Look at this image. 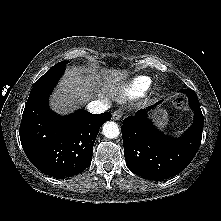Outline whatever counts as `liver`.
Here are the masks:
<instances>
[{"instance_id":"1","label":"liver","mask_w":221,"mask_h":221,"mask_svg":"<svg viewBox=\"0 0 221 221\" xmlns=\"http://www.w3.org/2000/svg\"><path fill=\"white\" fill-rule=\"evenodd\" d=\"M126 75L120 70H104L101 76L96 69H67L51 95L50 106L55 112L66 114L77 104H86L93 99L108 101Z\"/></svg>"}]
</instances>
